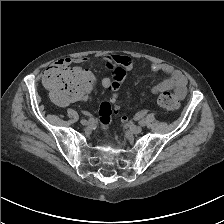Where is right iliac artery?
I'll use <instances>...</instances> for the list:
<instances>
[{
	"label": "right iliac artery",
	"mask_w": 224,
	"mask_h": 224,
	"mask_svg": "<svg viewBox=\"0 0 224 224\" xmlns=\"http://www.w3.org/2000/svg\"><path fill=\"white\" fill-rule=\"evenodd\" d=\"M89 122L90 123H94L95 122V119L93 117L89 118Z\"/></svg>",
	"instance_id": "right-iliac-artery-1"
}]
</instances>
